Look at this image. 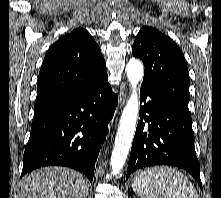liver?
I'll list each match as a JSON object with an SVG mask.
<instances>
[{"mask_svg": "<svg viewBox=\"0 0 221 198\" xmlns=\"http://www.w3.org/2000/svg\"><path fill=\"white\" fill-rule=\"evenodd\" d=\"M88 180L65 167H44L26 175L17 198H87Z\"/></svg>", "mask_w": 221, "mask_h": 198, "instance_id": "obj_1", "label": "liver"}]
</instances>
